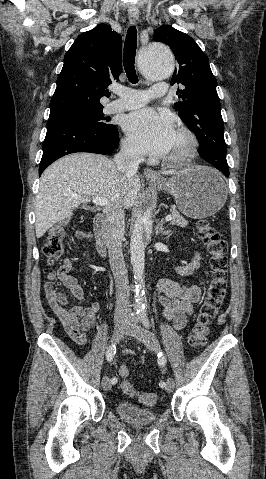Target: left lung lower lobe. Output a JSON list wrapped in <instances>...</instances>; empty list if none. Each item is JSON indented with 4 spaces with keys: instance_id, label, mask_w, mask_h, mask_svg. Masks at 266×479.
Instances as JSON below:
<instances>
[{
    "instance_id": "obj_1",
    "label": "left lung lower lobe",
    "mask_w": 266,
    "mask_h": 479,
    "mask_svg": "<svg viewBox=\"0 0 266 479\" xmlns=\"http://www.w3.org/2000/svg\"><path fill=\"white\" fill-rule=\"evenodd\" d=\"M218 169V168H217ZM226 177H229V168L228 167H222L219 169Z\"/></svg>"
}]
</instances>
